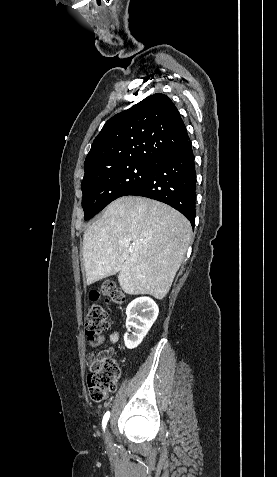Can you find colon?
I'll use <instances>...</instances> for the list:
<instances>
[{
	"mask_svg": "<svg viewBox=\"0 0 277 477\" xmlns=\"http://www.w3.org/2000/svg\"><path fill=\"white\" fill-rule=\"evenodd\" d=\"M100 297L107 302L122 304L124 296L113 282L103 284L100 292L90 295V306L85 315V334L90 341H96L104 336L108 329V314L104 307L98 303ZM121 369L119 362L112 356H104L90 365L87 376L89 396L94 402L103 401L106 396L114 391L120 379Z\"/></svg>",
	"mask_w": 277,
	"mask_h": 477,
	"instance_id": "5ec220e1",
	"label": "colon"
}]
</instances>
